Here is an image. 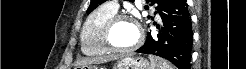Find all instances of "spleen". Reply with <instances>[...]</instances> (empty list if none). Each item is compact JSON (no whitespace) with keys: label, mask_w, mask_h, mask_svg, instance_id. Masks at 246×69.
I'll return each mask as SVG.
<instances>
[{"label":"spleen","mask_w":246,"mask_h":69,"mask_svg":"<svg viewBox=\"0 0 246 69\" xmlns=\"http://www.w3.org/2000/svg\"><path fill=\"white\" fill-rule=\"evenodd\" d=\"M149 59L151 61V69H174L167 61L159 57L149 56Z\"/></svg>","instance_id":"1"}]
</instances>
